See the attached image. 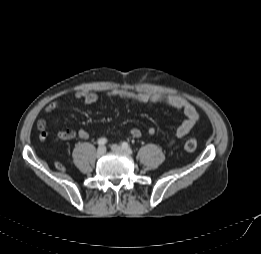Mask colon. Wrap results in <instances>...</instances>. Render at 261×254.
<instances>
[{"label": "colon", "mask_w": 261, "mask_h": 254, "mask_svg": "<svg viewBox=\"0 0 261 254\" xmlns=\"http://www.w3.org/2000/svg\"><path fill=\"white\" fill-rule=\"evenodd\" d=\"M184 148L187 152H193L195 151V149L197 148V141L194 138H189L185 144H184ZM55 167L58 170L63 171L65 169L64 165L61 164L60 162L55 163Z\"/></svg>", "instance_id": "obj_1"}]
</instances>
